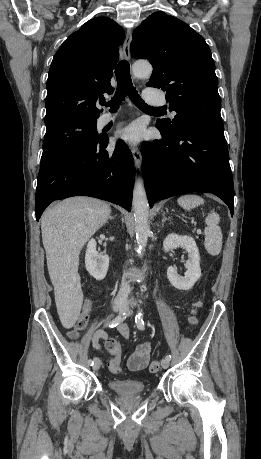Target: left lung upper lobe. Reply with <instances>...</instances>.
<instances>
[{
    "instance_id": "1",
    "label": "left lung upper lobe",
    "mask_w": 261,
    "mask_h": 459,
    "mask_svg": "<svg viewBox=\"0 0 261 459\" xmlns=\"http://www.w3.org/2000/svg\"><path fill=\"white\" fill-rule=\"evenodd\" d=\"M131 54L147 57L153 72L147 86L166 91L175 118L158 120L170 133L198 127L223 126L218 80L204 38L186 23L155 12L133 32Z\"/></svg>"
}]
</instances>
